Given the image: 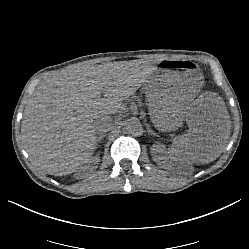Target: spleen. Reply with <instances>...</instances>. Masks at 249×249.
<instances>
[{
	"instance_id": "3e777b00",
	"label": "spleen",
	"mask_w": 249,
	"mask_h": 249,
	"mask_svg": "<svg viewBox=\"0 0 249 249\" xmlns=\"http://www.w3.org/2000/svg\"><path fill=\"white\" fill-rule=\"evenodd\" d=\"M171 152H172V151H171ZM171 152H170V153H171ZM170 157L174 160V158L172 157V155H171V154H170Z\"/></svg>"
}]
</instances>
